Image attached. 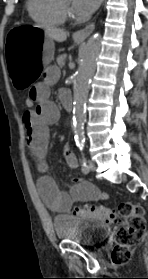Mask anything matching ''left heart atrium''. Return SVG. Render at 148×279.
I'll use <instances>...</instances> for the list:
<instances>
[{
  "mask_svg": "<svg viewBox=\"0 0 148 279\" xmlns=\"http://www.w3.org/2000/svg\"><path fill=\"white\" fill-rule=\"evenodd\" d=\"M101 3V0H73L74 7L82 14L92 13Z\"/></svg>",
  "mask_w": 148,
  "mask_h": 279,
  "instance_id": "1",
  "label": "left heart atrium"
}]
</instances>
